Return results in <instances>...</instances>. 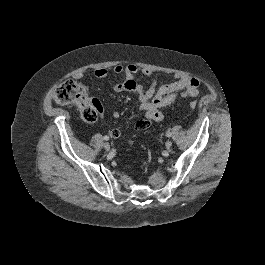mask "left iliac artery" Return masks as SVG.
<instances>
[{"instance_id":"44dca946","label":"left iliac artery","mask_w":265,"mask_h":265,"mask_svg":"<svg viewBox=\"0 0 265 265\" xmlns=\"http://www.w3.org/2000/svg\"><path fill=\"white\" fill-rule=\"evenodd\" d=\"M171 135H172V134H171L170 132H167V133H166V136H167V137H171Z\"/></svg>"}]
</instances>
